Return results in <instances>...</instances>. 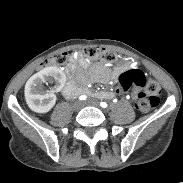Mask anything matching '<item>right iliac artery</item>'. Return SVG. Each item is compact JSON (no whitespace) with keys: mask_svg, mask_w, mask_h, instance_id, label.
<instances>
[{"mask_svg":"<svg viewBox=\"0 0 183 183\" xmlns=\"http://www.w3.org/2000/svg\"><path fill=\"white\" fill-rule=\"evenodd\" d=\"M86 98H87V97H86L85 95H81V96L79 97L80 100H86Z\"/></svg>","mask_w":183,"mask_h":183,"instance_id":"1","label":"right iliac artery"}]
</instances>
